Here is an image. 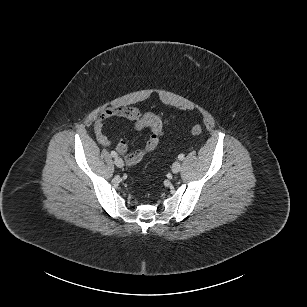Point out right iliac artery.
Segmentation results:
<instances>
[{
    "label": "right iliac artery",
    "instance_id": "right-iliac-artery-1",
    "mask_svg": "<svg viewBox=\"0 0 307 307\" xmlns=\"http://www.w3.org/2000/svg\"><path fill=\"white\" fill-rule=\"evenodd\" d=\"M111 156L116 158L117 157V153L115 151H111Z\"/></svg>",
    "mask_w": 307,
    "mask_h": 307
}]
</instances>
